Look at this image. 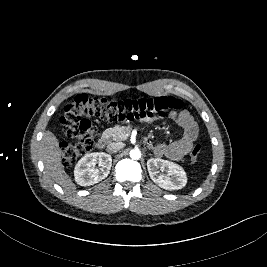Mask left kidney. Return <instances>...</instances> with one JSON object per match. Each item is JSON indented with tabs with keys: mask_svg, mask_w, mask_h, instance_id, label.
Wrapping results in <instances>:
<instances>
[{
	"mask_svg": "<svg viewBox=\"0 0 267 267\" xmlns=\"http://www.w3.org/2000/svg\"><path fill=\"white\" fill-rule=\"evenodd\" d=\"M147 169L151 180L163 189L178 190L187 183L185 171L174 162L151 158L147 161Z\"/></svg>",
	"mask_w": 267,
	"mask_h": 267,
	"instance_id": "5707ae66",
	"label": "left kidney"
}]
</instances>
